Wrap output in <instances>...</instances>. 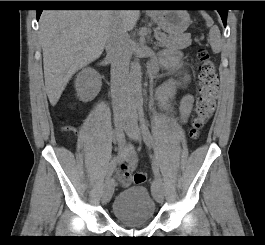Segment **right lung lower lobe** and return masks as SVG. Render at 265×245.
Returning <instances> with one entry per match:
<instances>
[{
    "mask_svg": "<svg viewBox=\"0 0 265 245\" xmlns=\"http://www.w3.org/2000/svg\"><path fill=\"white\" fill-rule=\"evenodd\" d=\"M51 6H79V7H119L123 6L122 1H81L79 3H53ZM42 13V9L37 10V20Z\"/></svg>",
    "mask_w": 265,
    "mask_h": 245,
    "instance_id": "right-lung-lower-lobe-1",
    "label": "right lung lower lobe"
}]
</instances>
